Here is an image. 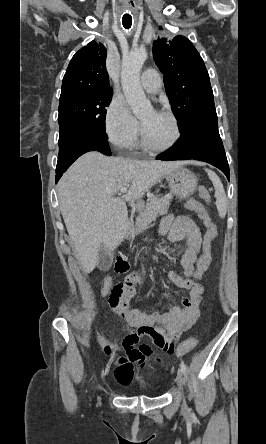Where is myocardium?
<instances>
[{"label":"myocardium","instance_id":"obj_1","mask_svg":"<svg viewBox=\"0 0 266 444\" xmlns=\"http://www.w3.org/2000/svg\"><path fill=\"white\" fill-rule=\"evenodd\" d=\"M157 113L165 115L172 120L173 125H174V130H175L173 139L170 141L169 144H167L164 147L156 146L150 141V139L144 129V126L141 123L140 127H141L142 141H143L144 146L153 152H165V151L172 149L178 143V141L181 137L180 123H179V120L176 117V115L169 110L162 109V110L157 111Z\"/></svg>","mask_w":266,"mask_h":444}]
</instances>
